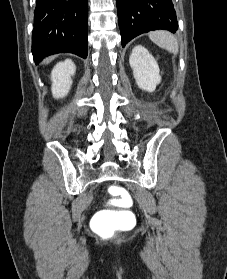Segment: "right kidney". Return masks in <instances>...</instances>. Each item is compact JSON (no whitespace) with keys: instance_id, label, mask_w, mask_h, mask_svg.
<instances>
[{"instance_id":"right-kidney-1","label":"right kidney","mask_w":227,"mask_h":279,"mask_svg":"<svg viewBox=\"0 0 227 279\" xmlns=\"http://www.w3.org/2000/svg\"><path fill=\"white\" fill-rule=\"evenodd\" d=\"M75 71L76 67L71 59H66L55 65L51 72L53 97L63 98L68 94L72 85L71 76L74 75Z\"/></svg>"}]
</instances>
